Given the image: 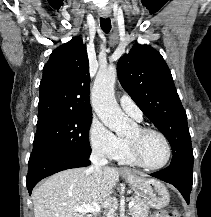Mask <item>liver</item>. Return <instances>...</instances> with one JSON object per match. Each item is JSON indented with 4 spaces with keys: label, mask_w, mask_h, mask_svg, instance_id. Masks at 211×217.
Here are the masks:
<instances>
[{
    "label": "liver",
    "mask_w": 211,
    "mask_h": 217,
    "mask_svg": "<svg viewBox=\"0 0 211 217\" xmlns=\"http://www.w3.org/2000/svg\"><path fill=\"white\" fill-rule=\"evenodd\" d=\"M118 179V170L111 167L103 168L100 185L87 168L56 173L33 190L34 217H89L74 208L93 204L105 207Z\"/></svg>",
    "instance_id": "liver-1"
}]
</instances>
